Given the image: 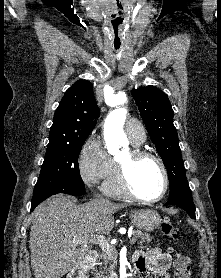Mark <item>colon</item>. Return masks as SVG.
Listing matches in <instances>:
<instances>
[{
    "mask_svg": "<svg viewBox=\"0 0 221 278\" xmlns=\"http://www.w3.org/2000/svg\"><path fill=\"white\" fill-rule=\"evenodd\" d=\"M160 234L173 240L178 239V232L176 228L168 220H165L161 224ZM174 268L177 278H190V262L187 257L177 255Z\"/></svg>",
    "mask_w": 221,
    "mask_h": 278,
    "instance_id": "5ec220e1",
    "label": "colon"
}]
</instances>
